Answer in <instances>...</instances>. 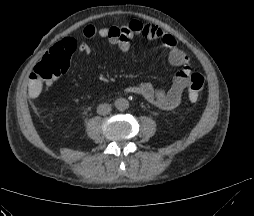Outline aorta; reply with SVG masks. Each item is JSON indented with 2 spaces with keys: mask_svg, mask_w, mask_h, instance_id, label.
<instances>
[{
  "mask_svg": "<svg viewBox=\"0 0 254 216\" xmlns=\"http://www.w3.org/2000/svg\"><path fill=\"white\" fill-rule=\"evenodd\" d=\"M115 107L119 111H124L129 108V101L125 98H118L115 103Z\"/></svg>",
  "mask_w": 254,
  "mask_h": 216,
  "instance_id": "1",
  "label": "aorta"
}]
</instances>
